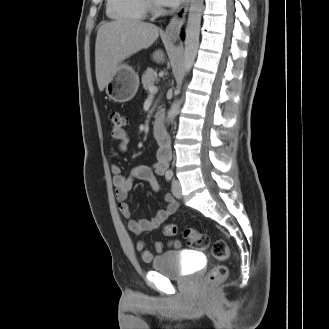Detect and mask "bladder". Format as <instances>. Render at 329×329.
<instances>
[{
  "instance_id": "obj_1",
  "label": "bladder",
  "mask_w": 329,
  "mask_h": 329,
  "mask_svg": "<svg viewBox=\"0 0 329 329\" xmlns=\"http://www.w3.org/2000/svg\"><path fill=\"white\" fill-rule=\"evenodd\" d=\"M153 271L170 279H182L187 274L183 270V260L179 250H171L156 255L151 263Z\"/></svg>"
}]
</instances>
